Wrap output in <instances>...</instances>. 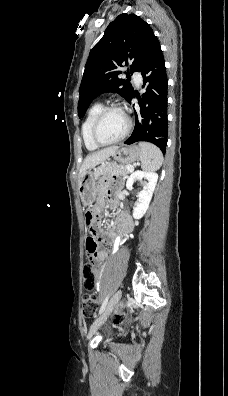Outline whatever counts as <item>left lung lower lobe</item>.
Instances as JSON below:
<instances>
[{
    "instance_id": "left-lung-lower-lobe-1",
    "label": "left lung lower lobe",
    "mask_w": 228,
    "mask_h": 396,
    "mask_svg": "<svg viewBox=\"0 0 228 396\" xmlns=\"http://www.w3.org/2000/svg\"><path fill=\"white\" fill-rule=\"evenodd\" d=\"M139 72L143 76L142 87L146 88V92L142 97L133 93L129 99L130 102L132 98L137 97L139 108L134 110L136 117L134 131L124 143L151 142L165 154L168 132V80L164 57L157 38Z\"/></svg>"
}]
</instances>
